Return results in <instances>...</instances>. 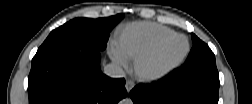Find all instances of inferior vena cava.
Instances as JSON below:
<instances>
[{
    "instance_id": "inferior-vena-cava-1",
    "label": "inferior vena cava",
    "mask_w": 252,
    "mask_h": 104,
    "mask_svg": "<svg viewBox=\"0 0 252 104\" xmlns=\"http://www.w3.org/2000/svg\"><path fill=\"white\" fill-rule=\"evenodd\" d=\"M104 73L111 78H122L125 76V72L122 67L114 63L104 66Z\"/></svg>"
}]
</instances>
